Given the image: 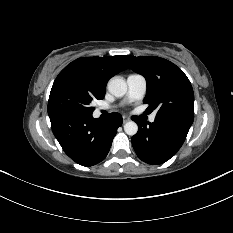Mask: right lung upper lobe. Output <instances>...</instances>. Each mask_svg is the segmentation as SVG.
I'll return each mask as SVG.
<instances>
[{
  "mask_svg": "<svg viewBox=\"0 0 233 233\" xmlns=\"http://www.w3.org/2000/svg\"><path fill=\"white\" fill-rule=\"evenodd\" d=\"M126 69L121 55L78 58L59 73L52 87L60 83H72L104 96L108 80Z\"/></svg>",
  "mask_w": 233,
  "mask_h": 233,
  "instance_id": "cb5924a9",
  "label": "right lung upper lobe"
}]
</instances>
